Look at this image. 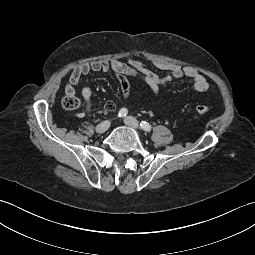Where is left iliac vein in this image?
<instances>
[{"instance_id": "left-iliac-vein-1", "label": "left iliac vein", "mask_w": 255, "mask_h": 255, "mask_svg": "<svg viewBox=\"0 0 255 255\" xmlns=\"http://www.w3.org/2000/svg\"><path fill=\"white\" fill-rule=\"evenodd\" d=\"M124 122H125L126 125H128V126L134 128V129H136V130L139 128V123H138V121H137L134 117H132V116H127V117H125V118H124Z\"/></svg>"}]
</instances>
